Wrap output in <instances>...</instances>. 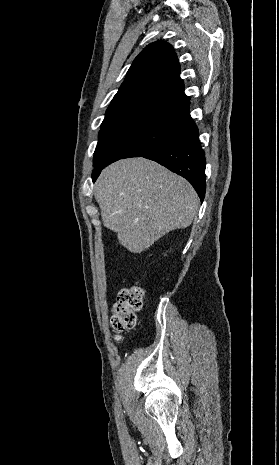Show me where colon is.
<instances>
[{"label":"colon","instance_id":"1","mask_svg":"<svg viewBox=\"0 0 279 465\" xmlns=\"http://www.w3.org/2000/svg\"><path fill=\"white\" fill-rule=\"evenodd\" d=\"M144 304V288L135 284L120 290L112 309L111 323L117 333L134 328L136 314L141 311ZM119 339V335L116 336Z\"/></svg>","mask_w":279,"mask_h":465}]
</instances>
